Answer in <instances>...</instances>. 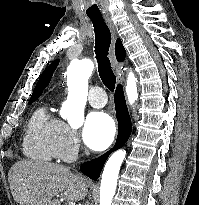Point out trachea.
I'll use <instances>...</instances> for the list:
<instances>
[{"mask_svg":"<svg viewBox=\"0 0 199 205\" xmlns=\"http://www.w3.org/2000/svg\"><path fill=\"white\" fill-rule=\"evenodd\" d=\"M94 26L95 32V54L98 63V72L103 84L110 90L114 91L116 76L114 75L108 52L111 44V34L103 17H89Z\"/></svg>","mask_w":199,"mask_h":205,"instance_id":"obj_1","label":"trachea"}]
</instances>
